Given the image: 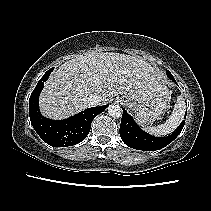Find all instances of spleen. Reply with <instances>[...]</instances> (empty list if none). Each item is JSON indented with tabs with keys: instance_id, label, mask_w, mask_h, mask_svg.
Listing matches in <instances>:
<instances>
[{
	"instance_id": "3e777b00",
	"label": "spleen",
	"mask_w": 211,
	"mask_h": 211,
	"mask_svg": "<svg viewBox=\"0 0 211 211\" xmlns=\"http://www.w3.org/2000/svg\"><path fill=\"white\" fill-rule=\"evenodd\" d=\"M184 114L185 102L180 96L177 99V103L174 106L171 116L166 120V122L155 127H147L145 128V131L156 136H164L170 134L180 125L184 118Z\"/></svg>"
}]
</instances>
